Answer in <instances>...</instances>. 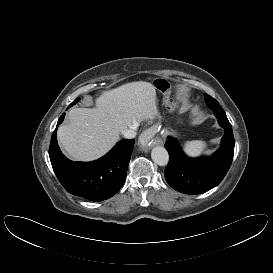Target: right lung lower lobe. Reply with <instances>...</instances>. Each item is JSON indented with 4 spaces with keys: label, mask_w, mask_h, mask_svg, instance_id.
<instances>
[{
    "label": "right lung lower lobe",
    "mask_w": 273,
    "mask_h": 273,
    "mask_svg": "<svg viewBox=\"0 0 273 273\" xmlns=\"http://www.w3.org/2000/svg\"><path fill=\"white\" fill-rule=\"evenodd\" d=\"M64 116L65 113L58 120L49 147L50 161L58 180L75 196L91 201L112 197L125 182L134 139L119 141L110 152L96 161L73 162L62 154L57 144V127Z\"/></svg>",
    "instance_id": "obj_1"
}]
</instances>
